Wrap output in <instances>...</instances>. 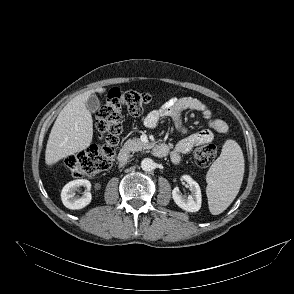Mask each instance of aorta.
Listing matches in <instances>:
<instances>
[{
  "label": "aorta",
  "instance_id": "aorta-1",
  "mask_svg": "<svg viewBox=\"0 0 294 294\" xmlns=\"http://www.w3.org/2000/svg\"><path fill=\"white\" fill-rule=\"evenodd\" d=\"M142 170L149 172L155 168V162L150 158H145L141 161Z\"/></svg>",
  "mask_w": 294,
  "mask_h": 294
}]
</instances>
